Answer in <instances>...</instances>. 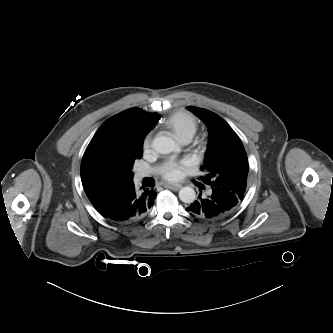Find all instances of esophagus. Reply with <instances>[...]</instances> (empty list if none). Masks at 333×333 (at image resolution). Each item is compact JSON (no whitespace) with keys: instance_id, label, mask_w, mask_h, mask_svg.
<instances>
[{"instance_id":"obj_1","label":"esophagus","mask_w":333,"mask_h":333,"mask_svg":"<svg viewBox=\"0 0 333 333\" xmlns=\"http://www.w3.org/2000/svg\"><path fill=\"white\" fill-rule=\"evenodd\" d=\"M165 187L169 188L171 190L177 191L182 187V185L181 184H165Z\"/></svg>"}]
</instances>
